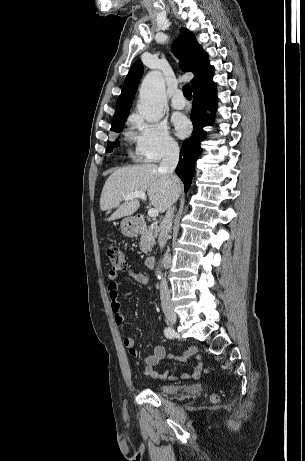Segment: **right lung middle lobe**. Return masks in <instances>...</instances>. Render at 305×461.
<instances>
[{
  "label": "right lung middle lobe",
  "mask_w": 305,
  "mask_h": 461,
  "mask_svg": "<svg viewBox=\"0 0 305 461\" xmlns=\"http://www.w3.org/2000/svg\"><path fill=\"white\" fill-rule=\"evenodd\" d=\"M126 121L125 120H122V121H118L114 124H111V130L112 131H115V132H121L122 129H123V126H124V122ZM119 144H118V140L114 141V142H108L107 144V152H111L113 147H117Z\"/></svg>",
  "instance_id": "1"
}]
</instances>
